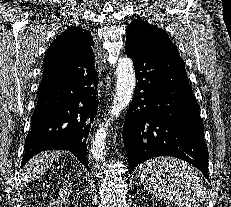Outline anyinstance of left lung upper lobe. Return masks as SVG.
I'll return each instance as SVG.
<instances>
[{
	"label": "left lung upper lobe",
	"instance_id": "1",
	"mask_svg": "<svg viewBox=\"0 0 231 207\" xmlns=\"http://www.w3.org/2000/svg\"><path fill=\"white\" fill-rule=\"evenodd\" d=\"M126 49L131 52H152L160 55H179L167 33L138 18L126 29Z\"/></svg>",
	"mask_w": 231,
	"mask_h": 207
}]
</instances>
